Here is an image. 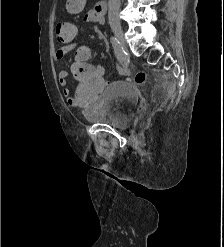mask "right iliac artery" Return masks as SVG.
<instances>
[{"mask_svg":"<svg viewBox=\"0 0 224 247\" xmlns=\"http://www.w3.org/2000/svg\"><path fill=\"white\" fill-rule=\"evenodd\" d=\"M110 40H111V44H112V46H113V48H114V52H115V54H116V57H117V59H118V61L120 62V63H122V61H123V56H124V50H123V48L121 47V45H120V43H119V41L117 40V38L116 37H111L110 38Z\"/></svg>","mask_w":224,"mask_h":247,"instance_id":"right-iliac-artery-1","label":"right iliac artery"}]
</instances>
